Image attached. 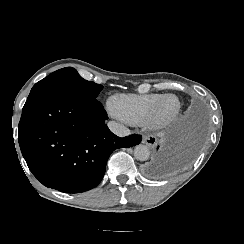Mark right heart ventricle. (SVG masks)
<instances>
[{
  "mask_svg": "<svg viewBox=\"0 0 244 244\" xmlns=\"http://www.w3.org/2000/svg\"><path fill=\"white\" fill-rule=\"evenodd\" d=\"M158 95H118L112 100V111L120 120L130 124L148 123L154 113Z\"/></svg>",
  "mask_w": 244,
  "mask_h": 244,
  "instance_id": "obj_1",
  "label": "right heart ventricle"
}]
</instances>
